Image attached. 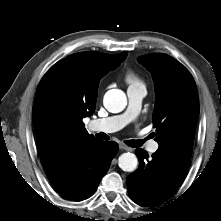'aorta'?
Listing matches in <instances>:
<instances>
[{
    "label": "aorta",
    "instance_id": "obj_1",
    "mask_svg": "<svg viewBox=\"0 0 221 221\" xmlns=\"http://www.w3.org/2000/svg\"><path fill=\"white\" fill-rule=\"evenodd\" d=\"M104 107L111 113H119L127 105L125 93L119 89H111L106 92L103 99ZM119 167L126 172H132L137 168L138 159L133 153H123L118 158Z\"/></svg>",
    "mask_w": 221,
    "mask_h": 221
}]
</instances>
